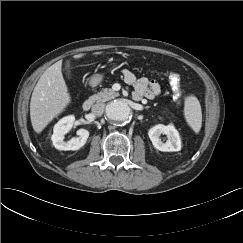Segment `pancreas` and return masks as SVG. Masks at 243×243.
I'll list each match as a JSON object with an SVG mask.
<instances>
[{
	"label": "pancreas",
	"mask_w": 243,
	"mask_h": 243,
	"mask_svg": "<svg viewBox=\"0 0 243 243\" xmlns=\"http://www.w3.org/2000/svg\"><path fill=\"white\" fill-rule=\"evenodd\" d=\"M119 93L115 92L111 88H104L102 91L94 94L91 99L95 102H106L118 97Z\"/></svg>",
	"instance_id": "obj_1"
}]
</instances>
